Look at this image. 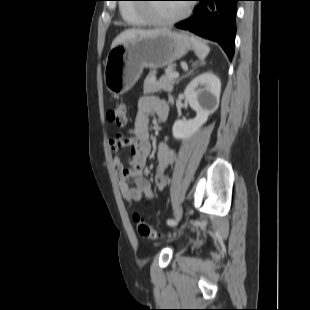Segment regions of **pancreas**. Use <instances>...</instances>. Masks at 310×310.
Masks as SVG:
<instances>
[{
    "instance_id": "obj_1",
    "label": "pancreas",
    "mask_w": 310,
    "mask_h": 310,
    "mask_svg": "<svg viewBox=\"0 0 310 310\" xmlns=\"http://www.w3.org/2000/svg\"><path fill=\"white\" fill-rule=\"evenodd\" d=\"M174 72V66H169L166 70V75L160 80H156V73L151 71L144 81V94L156 93L165 91L171 93L175 83V79H170L169 75Z\"/></svg>"
}]
</instances>
